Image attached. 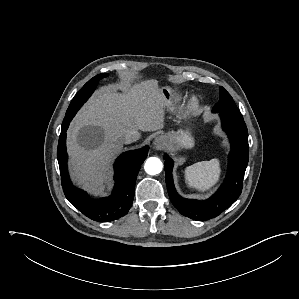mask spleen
Segmentation results:
<instances>
[{"label":"spleen","mask_w":299,"mask_h":299,"mask_svg":"<svg viewBox=\"0 0 299 299\" xmlns=\"http://www.w3.org/2000/svg\"><path fill=\"white\" fill-rule=\"evenodd\" d=\"M220 162L217 158L195 163L185 169V180L189 187L199 191L210 190L219 181Z\"/></svg>","instance_id":"3e777b00"}]
</instances>
